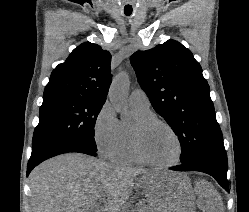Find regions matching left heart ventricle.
<instances>
[{"label": "left heart ventricle", "instance_id": "b2bd125f", "mask_svg": "<svg viewBox=\"0 0 249 212\" xmlns=\"http://www.w3.org/2000/svg\"><path fill=\"white\" fill-rule=\"evenodd\" d=\"M141 144L144 153L154 162H174L179 153L175 137L160 125H155L142 133Z\"/></svg>", "mask_w": 249, "mask_h": 212}]
</instances>
